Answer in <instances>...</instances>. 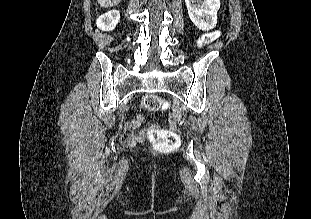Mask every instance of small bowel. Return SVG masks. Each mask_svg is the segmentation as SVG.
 Here are the masks:
<instances>
[{
    "instance_id": "small-bowel-1",
    "label": "small bowel",
    "mask_w": 311,
    "mask_h": 219,
    "mask_svg": "<svg viewBox=\"0 0 311 219\" xmlns=\"http://www.w3.org/2000/svg\"><path fill=\"white\" fill-rule=\"evenodd\" d=\"M143 122V118L141 116H137L129 126L128 136L125 138V141H132L134 139L133 131L138 128Z\"/></svg>"
}]
</instances>
